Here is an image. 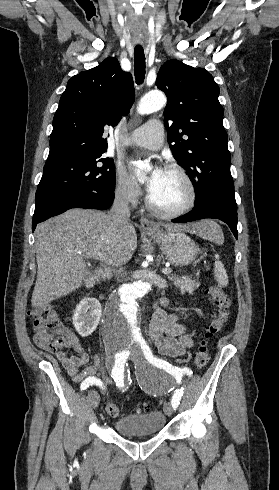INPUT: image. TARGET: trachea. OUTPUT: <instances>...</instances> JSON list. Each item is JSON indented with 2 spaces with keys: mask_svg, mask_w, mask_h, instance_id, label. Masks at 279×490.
<instances>
[{
  "mask_svg": "<svg viewBox=\"0 0 279 490\" xmlns=\"http://www.w3.org/2000/svg\"><path fill=\"white\" fill-rule=\"evenodd\" d=\"M134 74L138 85L143 83L145 77V55L142 47H135L134 50Z\"/></svg>",
  "mask_w": 279,
  "mask_h": 490,
  "instance_id": "1",
  "label": "trachea"
}]
</instances>
